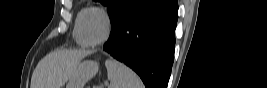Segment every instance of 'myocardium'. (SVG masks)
<instances>
[{"label":"myocardium","instance_id":"myocardium-1","mask_svg":"<svg viewBox=\"0 0 267 88\" xmlns=\"http://www.w3.org/2000/svg\"><path fill=\"white\" fill-rule=\"evenodd\" d=\"M91 13H97L100 16H102L103 19H104V21H105V24H106L105 34L97 42H90V41H88L87 38H86V36H85V32H84L85 20H86L87 16L89 14H91ZM110 32H111V19H110L108 13L105 10H103L101 8H97V7H92L91 9L87 10L83 14L82 19H81L80 34H81L82 40L86 44V46L96 47V46L102 45L108 39V37L110 35Z\"/></svg>","mask_w":267,"mask_h":88}]
</instances>
